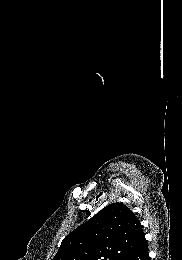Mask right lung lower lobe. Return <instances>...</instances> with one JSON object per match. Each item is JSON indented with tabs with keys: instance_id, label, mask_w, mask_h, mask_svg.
<instances>
[{
	"instance_id": "98d812e1",
	"label": "right lung lower lobe",
	"mask_w": 182,
	"mask_h": 260,
	"mask_svg": "<svg viewBox=\"0 0 182 260\" xmlns=\"http://www.w3.org/2000/svg\"><path fill=\"white\" fill-rule=\"evenodd\" d=\"M125 260H150L147 242L130 254Z\"/></svg>"
}]
</instances>
